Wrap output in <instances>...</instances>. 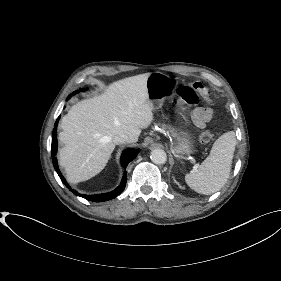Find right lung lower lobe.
I'll return each mask as SVG.
<instances>
[{
	"instance_id": "98d812e1",
	"label": "right lung lower lobe",
	"mask_w": 281,
	"mask_h": 281,
	"mask_svg": "<svg viewBox=\"0 0 281 281\" xmlns=\"http://www.w3.org/2000/svg\"><path fill=\"white\" fill-rule=\"evenodd\" d=\"M71 96L72 95H69V97L67 99H69ZM59 118L60 117H58L57 121L55 122L54 129L52 132L51 155L53 158L52 161H53L54 168H55L56 172L58 173L60 179L62 180L63 184H65L66 187H68L69 190L71 192H73L75 195L83 197L90 201H94V202L111 200V199L115 198L116 196H118L120 193H122L126 186V177H127L126 173L124 174V176L122 178L121 184L115 190H113L112 192H109V193L98 194V195H84V194H79L77 191L71 189L68 186V184L66 183V180L64 179V177L62 176V174L58 168L57 159L55 157L56 152H57V125H58ZM137 154H138V151L135 149H128V150L124 151L122 154V158H121L123 166L126 167L128 165V163L137 156Z\"/></svg>"
}]
</instances>
